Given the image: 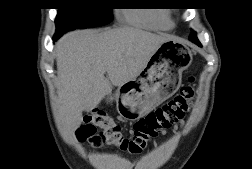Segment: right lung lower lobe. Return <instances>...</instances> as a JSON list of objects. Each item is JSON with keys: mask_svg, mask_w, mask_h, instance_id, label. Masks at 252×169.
Returning <instances> with one entry per match:
<instances>
[{"mask_svg": "<svg viewBox=\"0 0 252 169\" xmlns=\"http://www.w3.org/2000/svg\"><path fill=\"white\" fill-rule=\"evenodd\" d=\"M63 35V33H56L53 37V40L56 41L58 38H60Z\"/></svg>", "mask_w": 252, "mask_h": 169, "instance_id": "obj_1", "label": "right lung lower lobe"}]
</instances>
